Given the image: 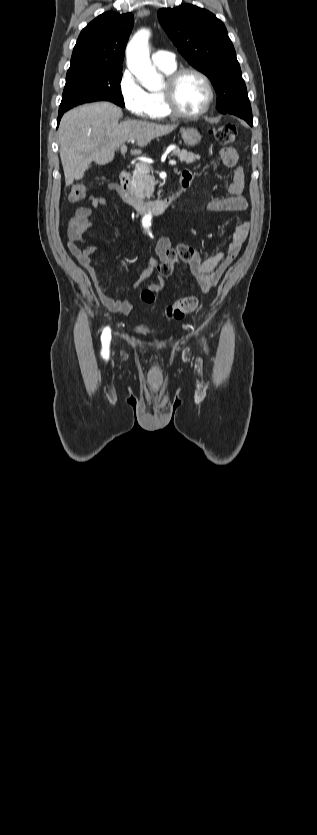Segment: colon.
Instances as JSON below:
<instances>
[{
    "mask_svg": "<svg viewBox=\"0 0 317 835\" xmlns=\"http://www.w3.org/2000/svg\"><path fill=\"white\" fill-rule=\"evenodd\" d=\"M211 133L215 140L221 145L228 146L232 144L236 138V128L233 125L226 124L217 126L211 129ZM87 188L81 183L74 184L69 192L68 199L71 203L80 202L85 198ZM196 250L189 246H183L178 250L177 261L187 260L194 255ZM175 261V262H177ZM175 262H164L160 265V273L163 276H171L174 271ZM141 300L144 303L152 304L155 301V293L151 289H145L140 294ZM198 306V299L193 296H188L176 300L174 303L166 308L167 316L180 320L187 313L194 311Z\"/></svg>",
    "mask_w": 317,
    "mask_h": 835,
    "instance_id": "colon-1",
    "label": "colon"
}]
</instances>
